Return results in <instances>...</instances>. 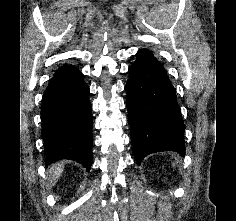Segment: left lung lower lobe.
Masks as SVG:
<instances>
[{"instance_id": "obj_1", "label": "left lung lower lobe", "mask_w": 236, "mask_h": 221, "mask_svg": "<svg viewBox=\"0 0 236 221\" xmlns=\"http://www.w3.org/2000/svg\"><path fill=\"white\" fill-rule=\"evenodd\" d=\"M128 72L126 105L138 164L155 152L176 151L185 155V125L176 91L160 62L150 51L141 49Z\"/></svg>"}]
</instances>
